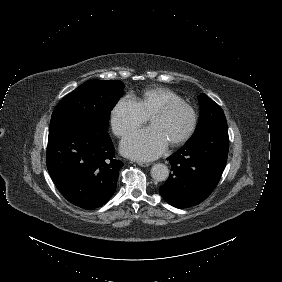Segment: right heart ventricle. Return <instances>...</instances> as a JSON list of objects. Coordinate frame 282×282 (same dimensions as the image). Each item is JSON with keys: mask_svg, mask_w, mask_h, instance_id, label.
Masks as SVG:
<instances>
[{"mask_svg": "<svg viewBox=\"0 0 282 282\" xmlns=\"http://www.w3.org/2000/svg\"><path fill=\"white\" fill-rule=\"evenodd\" d=\"M166 99L171 101H180V98L172 91L164 88H154L146 90L140 97H135L134 100L144 113L149 118L151 113Z\"/></svg>", "mask_w": 282, "mask_h": 282, "instance_id": "obj_1", "label": "right heart ventricle"}]
</instances>
